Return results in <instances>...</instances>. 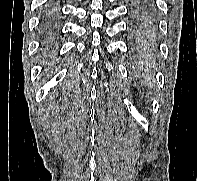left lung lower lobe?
I'll use <instances>...</instances> for the list:
<instances>
[{
    "instance_id": "obj_1",
    "label": "left lung lower lobe",
    "mask_w": 197,
    "mask_h": 181,
    "mask_svg": "<svg viewBox=\"0 0 197 181\" xmlns=\"http://www.w3.org/2000/svg\"><path fill=\"white\" fill-rule=\"evenodd\" d=\"M156 29L157 20L153 0H130L128 34L136 54L144 55L154 52Z\"/></svg>"
}]
</instances>
